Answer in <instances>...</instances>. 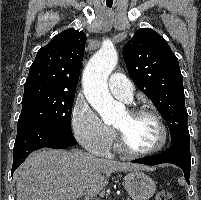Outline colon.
<instances>
[{
	"mask_svg": "<svg viewBox=\"0 0 201 200\" xmlns=\"http://www.w3.org/2000/svg\"><path fill=\"white\" fill-rule=\"evenodd\" d=\"M156 200H173V197L168 191H159L156 194Z\"/></svg>",
	"mask_w": 201,
	"mask_h": 200,
	"instance_id": "1",
	"label": "colon"
}]
</instances>
